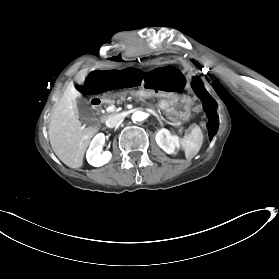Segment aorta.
I'll use <instances>...</instances> for the list:
<instances>
[{
	"mask_svg": "<svg viewBox=\"0 0 279 279\" xmlns=\"http://www.w3.org/2000/svg\"><path fill=\"white\" fill-rule=\"evenodd\" d=\"M145 118H146V113L142 111H136L132 115L133 122H140L143 121Z\"/></svg>",
	"mask_w": 279,
	"mask_h": 279,
	"instance_id": "aorta-1",
	"label": "aorta"
}]
</instances>
